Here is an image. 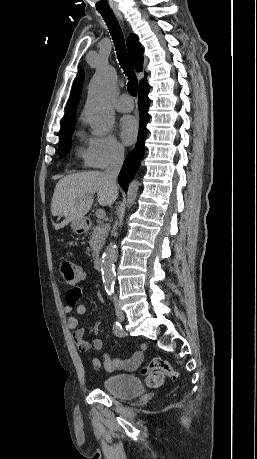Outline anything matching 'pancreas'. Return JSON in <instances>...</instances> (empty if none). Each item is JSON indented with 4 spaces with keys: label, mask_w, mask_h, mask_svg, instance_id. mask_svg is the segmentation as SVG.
<instances>
[{
    "label": "pancreas",
    "mask_w": 257,
    "mask_h": 459,
    "mask_svg": "<svg viewBox=\"0 0 257 459\" xmlns=\"http://www.w3.org/2000/svg\"><path fill=\"white\" fill-rule=\"evenodd\" d=\"M109 230L110 225L104 224L103 222H99L97 226L92 229L89 245L91 247L93 257L98 256L105 243V239L108 236Z\"/></svg>",
    "instance_id": "obj_1"
}]
</instances>
